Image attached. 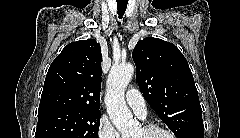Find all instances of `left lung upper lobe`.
Segmentation results:
<instances>
[{
	"instance_id": "1",
	"label": "left lung upper lobe",
	"mask_w": 240,
	"mask_h": 138,
	"mask_svg": "<svg viewBox=\"0 0 240 138\" xmlns=\"http://www.w3.org/2000/svg\"><path fill=\"white\" fill-rule=\"evenodd\" d=\"M145 100L177 138L204 129L202 109L188 62L172 43L148 37L132 53Z\"/></svg>"
}]
</instances>
